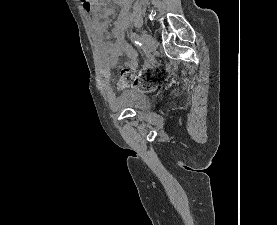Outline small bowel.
Segmentation results:
<instances>
[{"mask_svg": "<svg viewBox=\"0 0 277 225\" xmlns=\"http://www.w3.org/2000/svg\"><path fill=\"white\" fill-rule=\"evenodd\" d=\"M130 2L131 0H112L114 5H122L124 7V11L122 12L121 16L115 20L114 25L110 30L111 38L107 41L106 28L108 24V17L112 12V8L104 7L101 9L100 13H96L93 6L89 5L87 2H84V8L88 12L92 13L89 27L104 65V91L109 102L112 104L116 103L117 97L109 85L108 80L111 70L116 64L117 58L124 54L129 58V67L131 70H136L138 66L136 54L133 49L125 42L123 36L127 25V10L129 8ZM124 84L125 83L123 79L118 80L117 85L119 89H123Z\"/></svg>", "mask_w": 277, "mask_h": 225, "instance_id": "small-bowel-1", "label": "small bowel"}]
</instances>
